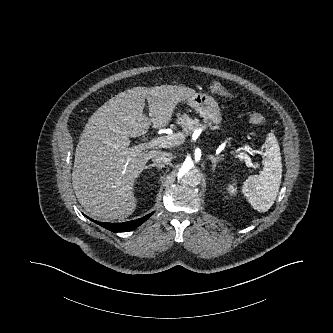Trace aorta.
<instances>
[{"label":"aorta","mask_w":333,"mask_h":333,"mask_svg":"<svg viewBox=\"0 0 333 333\" xmlns=\"http://www.w3.org/2000/svg\"><path fill=\"white\" fill-rule=\"evenodd\" d=\"M178 178L184 185L195 187L200 183L201 174L191 162L186 161L179 168Z\"/></svg>","instance_id":"1"}]
</instances>
